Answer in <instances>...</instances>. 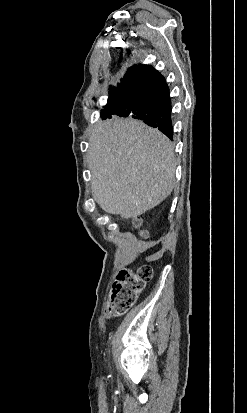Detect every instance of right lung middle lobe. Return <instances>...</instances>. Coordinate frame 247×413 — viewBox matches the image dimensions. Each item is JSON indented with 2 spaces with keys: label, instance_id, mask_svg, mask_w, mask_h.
I'll return each instance as SVG.
<instances>
[{
  "label": "right lung middle lobe",
  "instance_id": "obj_1",
  "mask_svg": "<svg viewBox=\"0 0 247 413\" xmlns=\"http://www.w3.org/2000/svg\"><path fill=\"white\" fill-rule=\"evenodd\" d=\"M135 96V88L128 82H122L118 84V87L110 89L109 98L134 99Z\"/></svg>",
  "mask_w": 247,
  "mask_h": 413
}]
</instances>
